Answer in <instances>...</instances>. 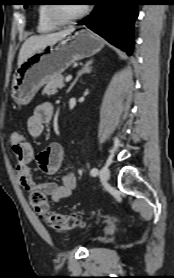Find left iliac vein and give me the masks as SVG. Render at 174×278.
<instances>
[{
	"label": "left iliac vein",
	"instance_id": "4c4485c4",
	"mask_svg": "<svg viewBox=\"0 0 174 278\" xmlns=\"http://www.w3.org/2000/svg\"><path fill=\"white\" fill-rule=\"evenodd\" d=\"M100 179L104 182L108 181L110 178V170L107 166H103L99 173Z\"/></svg>",
	"mask_w": 174,
	"mask_h": 278
}]
</instances>
